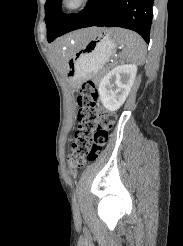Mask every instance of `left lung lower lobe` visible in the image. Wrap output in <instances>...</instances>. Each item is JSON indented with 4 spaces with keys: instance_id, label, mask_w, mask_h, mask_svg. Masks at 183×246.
Wrapping results in <instances>:
<instances>
[{
    "instance_id": "left-lung-lower-lobe-1",
    "label": "left lung lower lobe",
    "mask_w": 183,
    "mask_h": 246,
    "mask_svg": "<svg viewBox=\"0 0 183 246\" xmlns=\"http://www.w3.org/2000/svg\"><path fill=\"white\" fill-rule=\"evenodd\" d=\"M153 2V0H89L80 13L74 14L58 37L85 27H121L139 33L149 43Z\"/></svg>"
}]
</instances>
